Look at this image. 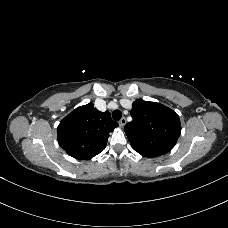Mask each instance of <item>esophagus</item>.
<instances>
[{
    "label": "esophagus",
    "mask_w": 228,
    "mask_h": 228,
    "mask_svg": "<svg viewBox=\"0 0 228 228\" xmlns=\"http://www.w3.org/2000/svg\"><path fill=\"white\" fill-rule=\"evenodd\" d=\"M125 124H126V118L123 117V118H121V119L119 120V126H120V127H124Z\"/></svg>",
    "instance_id": "esophagus-1"
}]
</instances>
